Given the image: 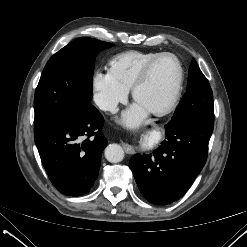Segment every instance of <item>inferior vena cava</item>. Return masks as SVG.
<instances>
[{
	"label": "inferior vena cava",
	"instance_id": "inferior-vena-cava-1",
	"mask_svg": "<svg viewBox=\"0 0 247 247\" xmlns=\"http://www.w3.org/2000/svg\"><path fill=\"white\" fill-rule=\"evenodd\" d=\"M117 103L114 101H102L99 103V108L104 111L114 112L116 110Z\"/></svg>",
	"mask_w": 247,
	"mask_h": 247
}]
</instances>
